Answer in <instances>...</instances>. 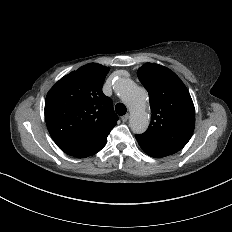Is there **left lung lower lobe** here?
Wrapping results in <instances>:
<instances>
[{
  "label": "left lung lower lobe",
  "mask_w": 232,
  "mask_h": 232,
  "mask_svg": "<svg viewBox=\"0 0 232 232\" xmlns=\"http://www.w3.org/2000/svg\"><path fill=\"white\" fill-rule=\"evenodd\" d=\"M140 147L143 149V151L148 154L151 157L154 158H161V157H165L168 155H172L176 152H178V150L161 144V143H157V142H153L147 139H143L141 137H139L138 135H135Z\"/></svg>",
  "instance_id": "0a47b994"
}]
</instances>
